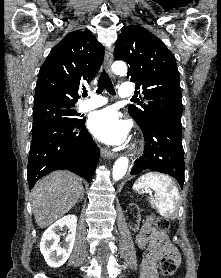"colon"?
Instances as JSON below:
<instances>
[{
    "label": "colon",
    "instance_id": "5ec220e1",
    "mask_svg": "<svg viewBox=\"0 0 221 278\" xmlns=\"http://www.w3.org/2000/svg\"><path fill=\"white\" fill-rule=\"evenodd\" d=\"M154 226L157 230L165 232L169 229L170 223L166 218L156 217L154 220ZM159 268L162 274L169 276L172 275L177 269V262L170 257H163L160 260Z\"/></svg>",
    "mask_w": 221,
    "mask_h": 278
}]
</instances>
